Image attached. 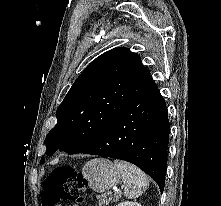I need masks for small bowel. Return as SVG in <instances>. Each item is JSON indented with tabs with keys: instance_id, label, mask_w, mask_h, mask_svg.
<instances>
[{
	"instance_id": "obj_1",
	"label": "small bowel",
	"mask_w": 221,
	"mask_h": 206,
	"mask_svg": "<svg viewBox=\"0 0 221 206\" xmlns=\"http://www.w3.org/2000/svg\"><path fill=\"white\" fill-rule=\"evenodd\" d=\"M65 206H76V205H73V204H67V205H65Z\"/></svg>"
}]
</instances>
